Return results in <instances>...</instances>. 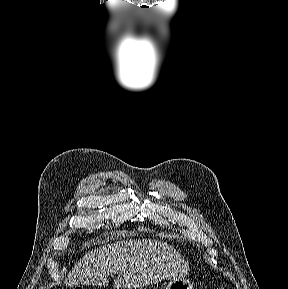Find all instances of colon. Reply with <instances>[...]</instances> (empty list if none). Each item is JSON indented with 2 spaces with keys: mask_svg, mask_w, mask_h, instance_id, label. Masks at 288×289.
Returning <instances> with one entry per match:
<instances>
[{
  "mask_svg": "<svg viewBox=\"0 0 288 289\" xmlns=\"http://www.w3.org/2000/svg\"><path fill=\"white\" fill-rule=\"evenodd\" d=\"M75 289H82V288H79V287H78V288H75Z\"/></svg>",
  "mask_w": 288,
  "mask_h": 289,
  "instance_id": "1",
  "label": "colon"
}]
</instances>
